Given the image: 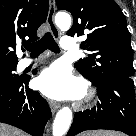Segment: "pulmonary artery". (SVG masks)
Masks as SVG:
<instances>
[{
  "label": "pulmonary artery",
  "mask_w": 136,
  "mask_h": 136,
  "mask_svg": "<svg viewBox=\"0 0 136 136\" xmlns=\"http://www.w3.org/2000/svg\"><path fill=\"white\" fill-rule=\"evenodd\" d=\"M61 47H62V49L66 50V51H71L76 48V42L72 37L66 36L61 39ZM35 61L36 60L24 58L20 61L19 64H20V67L25 68V67L31 65Z\"/></svg>",
  "instance_id": "pulmonary-artery-1"
}]
</instances>
